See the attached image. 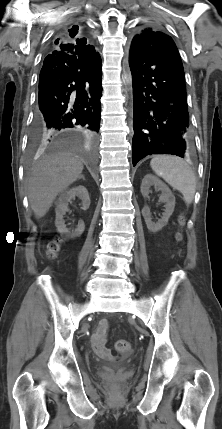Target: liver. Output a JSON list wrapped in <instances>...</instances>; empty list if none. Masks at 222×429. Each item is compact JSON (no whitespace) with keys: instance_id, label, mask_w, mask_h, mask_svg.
<instances>
[{"instance_id":"obj_1","label":"liver","mask_w":222,"mask_h":429,"mask_svg":"<svg viewBox=\"0 0 222 429\" xmlns=\"http://www.w3.org/2000/svg\"><path fill=\"white\" fill-rule=\"evenodd\" d=\"M82 159L71 152L43 156L27 180L28 199L36 218H42L56 196L81 177Z\"/></svg>"}]
</instances>
